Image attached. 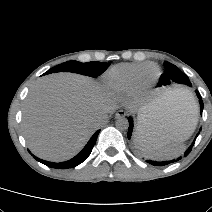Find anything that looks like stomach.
<instances>
[{
    "mask_svg": "<svg viewBox=\"0 0 212 212\" xmlns=\"http://www.w3.org/2000/svg\"><path fill=\"white\" fill-rule=\"evenodd\" d=\"M139 114H142V115H145V116H146V115H152V114H151V111H150V104L146 105V106L144 107V109L140 111Z\"/></svg>",
    "mask_w": 212,
    "mask_h": 212,
    "instance_id": "1",
    "label": "stomach"
}]
</instances>
